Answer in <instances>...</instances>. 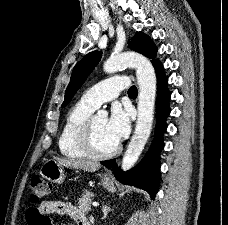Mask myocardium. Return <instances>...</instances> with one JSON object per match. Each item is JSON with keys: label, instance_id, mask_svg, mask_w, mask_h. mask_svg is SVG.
Masks as SVG:
<instances>
[{"label": "myocardium", "instance_id": "myocardium-1", "mask_svg": "<svg viewBox=\"0 0 228 225\" xmlns=\"http://www.w3.org/2000/svg\"><path fill=\"white\" fill-rule=\"evenodd\" d=\"M93 120L94 116H90L84 122L80 135H79V143L81 147L88 152L90 155L94 157H109L116 154L120 150V144H116L110 149L103 150L98 147L94 138L93 132Z\"/></svg>", "mask_w": 228, "mask_h": 225}]
</instances>
